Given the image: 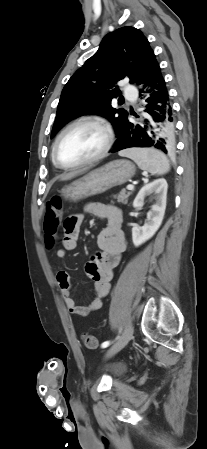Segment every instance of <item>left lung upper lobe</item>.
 <instances>
[{"label":"left lung upper lobe","instance_id":"1","mask_svg":"<svg viewBox=\"0 0 207 449\" xmlns=\"http://www.w3.org/2000/svg\"><path fill=\"white\" fill-rule=\"evenodd\" d=\"M156 61L139 29L127 26L108 33L97 52L64 86L51 137L71 119L90 113L106 117L118 136L128 112L111 106L112 99L121 96L117 82L128 77L130 83L141 84Z\"/></svg>","mask_w":207,"mask_h":449}]
</instances>
